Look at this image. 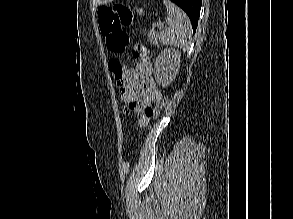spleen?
<instances>
[{"instance_id": "spleen-1", "label": "spleen", "mask_w": 293, "mask_h": 219, "mask_svg": "<svg viewBox=\"0 0 293 219\" xmlns=\"http://www.w3.org/2000/svg\"><path fill=\"white\" fill-rule=\"evenodd\" d=\"M167 8V27L160 32L163 44L187 51L192 42V26L188 16L174 3L163 0Z\"/></svg>"}]
</instances>
